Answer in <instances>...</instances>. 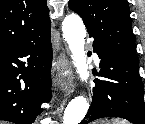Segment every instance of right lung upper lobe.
I'll return each instance as SVG.
<instances>
[{"mask_svg":"<svg viewBox=\"0 0 145 124\" xmlns=\"http://www.w3.org/2000/svg\"><path fill=\"white\" fill-rule=\"evenodd\" d=\"M50 28L46 0H0V46L34 40Z\"/></svg>","mask_w":145,"mask_h":124,"instance_id":"right-lung-upper-lobe-1","label":"right lung upper lobe"}]
</instances>
